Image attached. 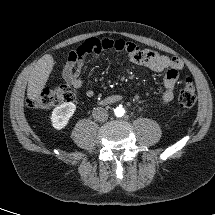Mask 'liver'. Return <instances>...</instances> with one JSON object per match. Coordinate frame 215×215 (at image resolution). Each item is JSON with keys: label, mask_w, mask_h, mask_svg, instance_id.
<instances>
[{"label": "liver", "mask_w": 215, "mask_h": 215, "mask_svg": "<svg viewBox=\"0 0 215 215\" xmlns=\"http://www.w3.org/2000/svg\"><path fill=\"white\" fill-rule=\"evenodd\" d=\"M54 66V59L50 54L44 55L33 66L28 78L27 97L35 100L44 89Z\"/></svg>", "instance_id": "obj_1"}]
</instances>
